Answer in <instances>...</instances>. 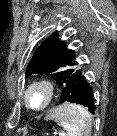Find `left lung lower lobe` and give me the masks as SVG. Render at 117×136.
<instances>
[{"mask_svg": "<svg viewBox=\"0 0 117 136\" xmlns=\"http://www.w3.org/2000/svg\"><path fill=\"white\" fill-rule=\"evenodd\" d=\"M62 102L76 103L87 107L91 113L96 110L92 86L82 69H75L63 87Z\"/></svg>", "mask_w": 117, "mask_h": 136, "instance_id": "left-lung-lower-lobe-1", "label": "left lung lower lobe"}]
</instances>
